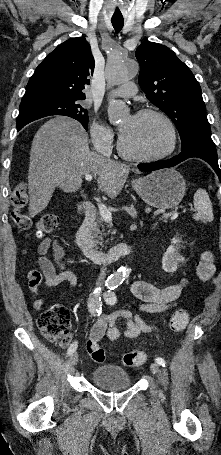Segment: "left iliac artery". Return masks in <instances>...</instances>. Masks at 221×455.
<instances>
[{
	"mask_svg": "<svg viewBox=\"0 0 221 455\" xmlns=\"http://www.w3.org/2000/svg\"><path fill=\"white\" fill-rule=\"evenodd\" d=\"M116 288V286H109L108 287V291L104 294V297H105V301L108 303V304H115L116 301H117V298H116V295L114 293V289ZM156 363H158L159 365L165 367L166 365V362L163 358L161 357H158L155 359Z\"/></svg>",
	"mask_w": 221,
	"mask_h": 455,
	"instance_id": "44dca946",
	"label": "left iliac artery"
}]
</instances>
